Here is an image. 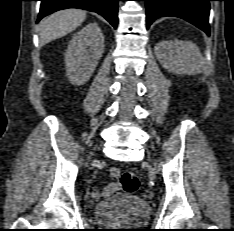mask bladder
Masks as SVG:
<instances>
[{"instance_id":"31cf9c89","label":"bladder","mask_w":234,"mask_h":231,"mask_svg":"<svg viewBox=\"0 0 234 231\" xmlns=\"http://www.w3.org/2000/svg\"><path fill=\"white\" fill-rule=\"evenodd\" d=\"M92 213L96 217L127 215L147 217L150 214L149 204L140 197L130 194H117L95 205Z\"/></svg>"}]
</instances>
